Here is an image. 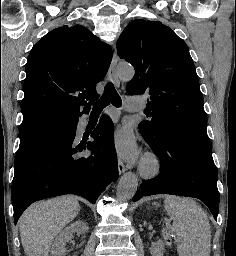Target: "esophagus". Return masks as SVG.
Segmentation results:
<instances>
[{
	"instance_id": "esophagus-1",
	"label": "esophagus",
	"mask_w": 236,
	"mask_h": 256,
	"mask_svg": "<svg viewBox=\"0 0 236 256\" xmlns=\"http://www.w3.org/2000/svg\"><path fill=\"white\" fill-rule=\"evenodd\" d=\"M116 65H117V57L116 54L114 53L111 65L109 67L108 75L109 78L113 81V83L119 87L120 86V80L116 74ZM118 170L119 174L123 173L125 171V164L121 159L118 160Z\"/></svg>"
}]
</instances>
